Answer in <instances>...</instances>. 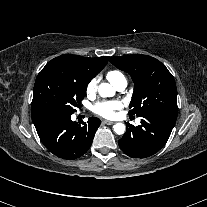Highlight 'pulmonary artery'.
Instances as JSON below:
<instances>
[{
	"mask_svg": "<svg viewBox=\"0 0 207 207\" xmlns=\"http://www.w3.org/2000/svg\"><path fill=\"white\" fill-rule=\"evenodd\" d=\"M115 89L118 91V92H122L126 89L127 87V81L126 80H120L119 82H117L115 85H114Z\"/></svg>",
	"mask_w": 207,
	"mask_h": 207,
	"instance_id": "pulmonary-artery-1",
	"label": "pulmonary artery"
}]
</instances>
